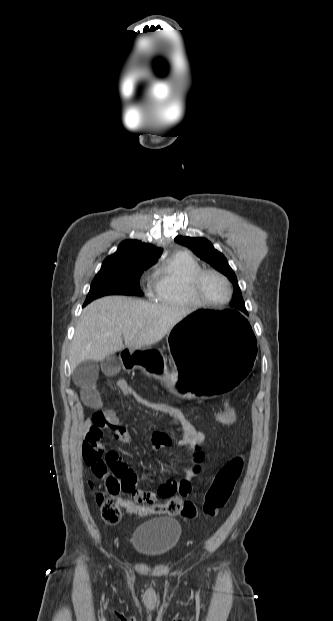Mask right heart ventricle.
I'll return each instance as SVG.
<instances>
[{
  "label": "right heart ventricle",
  "instance_id": "obj_1",
  "mask_svg": "<svg viewBox=\"0 0 333 621\" xmlns=\"http://www.w3.org/2000/svg\"><path fill=\"white\" fill-rule=\"evenodd\" d=\"M201 270L199 263L187 253H175L154 271L151 297L173 306H193L190 282Z\"/></svg>",
  "mask_w": 333,
  "mask_h": 621
}]
</instances>
